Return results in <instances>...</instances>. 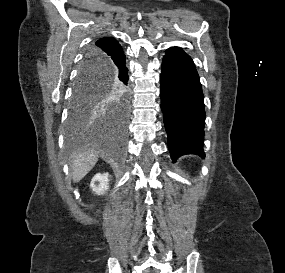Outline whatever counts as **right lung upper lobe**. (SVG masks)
Returning a JSON list of instances; mask_svg holds the SVG:
<instances>
[{"label":"right lung upper lobe","instance_id":"1","mask_svg":"<svg viewBox=\"0 0 285 273\" xmlns=\"http://www.w3.org/2000/svg\"><path fill=\"white\" fill-rule=\"evenodd\" d=\"M99 58L117 56L122 54L123 48L113 37H103L90 48Z\"/></svg>","mask_w":285,"mask_h":273}]
</instances>
